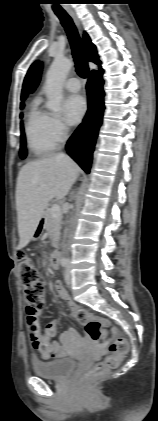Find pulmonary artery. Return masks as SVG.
Returning a JSON list of instances; mask_svg holds the SVG:
<instances>
[{"label": "pulmonary artery", "mask_w": 158, "mask_h": 421, "mask_svg": "<svg viewBox=\"0 0 158 421\" xmlns=\"http://www.w3.org/2000/svg\"><path fill=\"white\" fill-rule=\"evenodd\" d=\"M64 87L70 92H78L81 88V83L78 78L72 77L65 81Z\"/></svg>", "instance_id": "obj_1"}]
</instances>
